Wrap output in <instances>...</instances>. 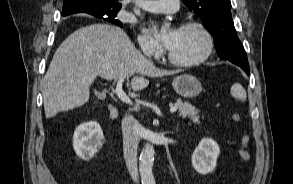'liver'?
Wrapping results in <instances>:
<instances>
[{
  "instance_id": "6515ba94",
  "label": "liver",
  "mask_w": 293,
  "mask_h": 184,
  "mask_svg": "<svg viewBox=\"0 0 293 184\" xmlns=\"http://www.w3.org/2000/svg\"><path fill=\"white\" fill-rule=\"evenodd\" d=\"M180 70H160L138 51L127 34L109 24L82 27L65 39L56 50L42 82L47 119L62 111L84 105L97 76L106 80L133 77L131 88H146V77L174 75Z\"/></svg>"
}]
</instances>
